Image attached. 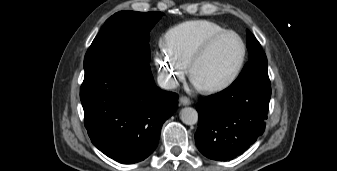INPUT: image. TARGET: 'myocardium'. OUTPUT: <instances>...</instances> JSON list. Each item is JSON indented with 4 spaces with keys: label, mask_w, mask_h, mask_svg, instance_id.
Here are the masks:
<instances>
[{
    "label": "myocardium",
    "mask_w": 337,
    "mask_h": 171,
    "mask_svg": "<svg viewBox=\"0 0 337 171\" xmlns=\"http://www.w3.org/2000/svg\"><path fill=\"white\" fill-rule=\"evenodd\" d=\"M226 36H235L240 42V45H241L240 59L238 63L236 64L235 68L232 70V72L229 74V76L226 79H224L223 81L219 83L213 84V85L202 86V89L207 92H218V91L224 90L228 88L229 86H231L236 81V79L238 78V76L240 75L243 69L246 56H247V46H246L244 39L237 32L233 30H225L223 32H220L208 38L205 42H203L198 47V49L195 51V53L193 54V56L191 57L189 61L188 70H189L190 76L193 78V72H194V69L197 63L206 55V53L218 40Z\"/></svg>",
    "instance_id": "1"
}]
</instances>
